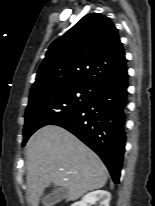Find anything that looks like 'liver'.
<instances>
[{
	"mask_svg": "<svg viewBox=\"0 0 155 206\" xmlns=\"http://www.w3.org/2000/svg\"><path fill=\"white\" fill-rule=\"evenodd\" d=\"M28 202L38 206L43 191L53 183L64 188L67 201L102 188L108 172L101 159L67 130L48 125L37 130L26 145Z\"/></svg>",
	"mask_w": 155,
	"mask_h": 206,
	"instance_id": "obj_1",
	"label": "liver"
}]
</instances>
